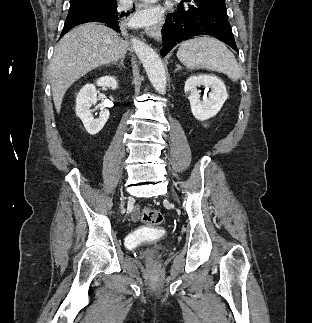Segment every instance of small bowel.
<instances>
[{
    "mask_svg": "<svg viewBox=\"0 0 312 323\" xmlns=\"http://www.w3.org/2000/svg\"><path fill=\"white\" fill-rule=\"evenodd\" d=\"M132 219L134 221H137L139 219V209L137 207L132 211Z\"/></svg>",
    "mask_w": 312,
    "mask_h": 323,
    "instance_id": "c3829d8e",
    "label": "small bowel"
}]
</instances>
